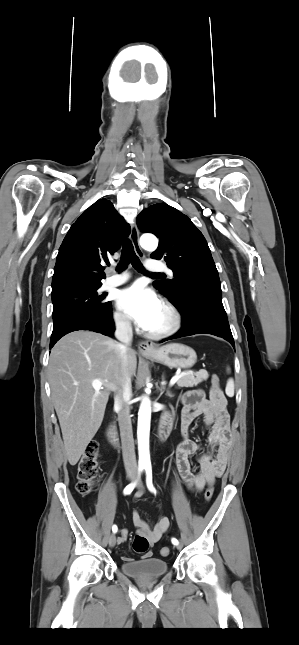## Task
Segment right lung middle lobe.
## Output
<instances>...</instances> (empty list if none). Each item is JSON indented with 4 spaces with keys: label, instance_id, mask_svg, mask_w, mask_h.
Wrapping results in <instances>:
<instances>
[{
    "label": "right lung middle lobe",
    "instance_id": "right-lung-middle-lobe-1",
    "mask_svg": "<svg viewBox=\"0 0 299 645\" xmlns=\"http://www.w3.org/2000/svg\"><path fill=\"white\" fill-rule=\"evenodd\" d=\"M101 285H72L52 292L54 328L83 313H102L111 307L97 290Z\"/></svg>",
    "mask_w": 299,
    "mask_h": 645
}]
</instances>
